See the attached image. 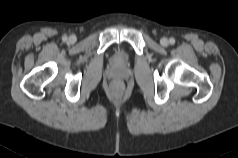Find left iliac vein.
Wrapping results in <instances>:
<instances>
[{"mask_svg": "<svg viewBox=\"0 0 238 158\" xmlns=\"http://www.w3.org/2000/svg\"><path fill=\"white\" fill-rule=\"evenodd\" d=\"M160 43H161V45L162 46H168V44H169V41H168V39L167 38H162L161 40H160Z\"/></svg>", "mask_w": 238, "mask_h": 158, "instance_id": "obj_1", "label": "left iliac vein"}]
</instances>
